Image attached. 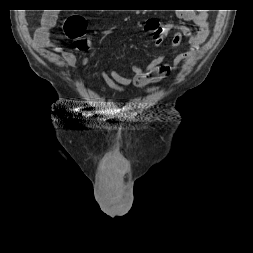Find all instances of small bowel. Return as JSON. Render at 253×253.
I'll list each match as a JSON object with an SVG mask.
<instances>
[{
    "instance_id": "small-bowel-1",
    "label": "small bowel",
    "mask_w": 253,
    "mask_h": 253,
    "mask_svg": "<svg viewBox=\"0 0 253 253\" xmlns=\"http://www.w3.org/2000/svg\"><path fill=\"white\" fill-rule=\"evenodd\" d=\"M186 19L198 28L193 30L187 25L176 23L160 24L156 19H149L145 23V29L152 34V42L155 47L160 48L164 46L169 33L175 30L172 38V46L174 49H179L182 37L188 39L189 50L178 54L169 63L165 54H160L154 58L147 66L141 67L137 65L132 66V76H122L115 70L110 73L102 71L101 75L105 84L116 91L124 92L126 86L134 85L137 88L145 89V92L150 93L158 89L156 84L162 79L169 76L172 72L178 70L179 65L189 58H191L198 48L204 44L209 36V27L207 21V14L204 11L196 13H188ZM56 23V16L53 13H47L42 18L41 26L38 27L34 33L35 42L43 48L52 49L55 52L61 53L66 64L74 66L77 64L76 56L69 51H63L60 47L51 42V30ZM88 59L83 58L82 64H87ZM104 90V88H100Z\"/></svg>"
}]
</instances>
